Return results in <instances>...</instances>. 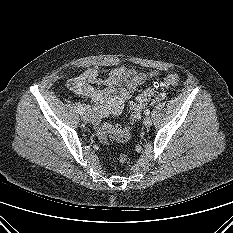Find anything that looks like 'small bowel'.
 <instances>
[{
  "mask_svg": "<svg viewBox=\"0 0 233 233\" xmlns=\"http://www.w3.org/2000/svg\"><path fill=\"white\" fill-rule=\"evenodd\" d=\"M157 71L140 72L134 68L117 66L101 79L99 72L89 69L70 78L67 86L75 94L100 105L101 113L117 114L138 86L150 80Z\"/></svg>",
  "mask_w": 233,
  "mask_h": 233,
  "instance_id": "c3829d8e",
  "label": "small bowel"
}]
</instances>
